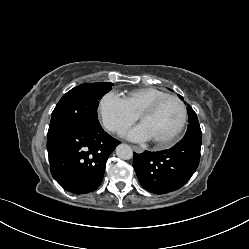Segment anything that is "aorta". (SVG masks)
Here are the masks:
<instances>
[{"instance_id":"obj_1","label":"aorta","mask_w":249,"mask_h":249,"mask_svg":"<svg viewBox=\"0 0 249 249\" xmlns=\"http://www.w3.org/2000/svg\"><path fill=\"white\" fill-rule=\"evenodd\" d=\"M116 155L123 160H129L133 157V150L127 144H120L116 147Z\"/></svg>"}]
</instances>
